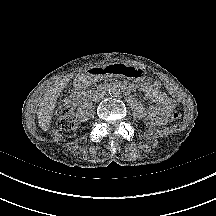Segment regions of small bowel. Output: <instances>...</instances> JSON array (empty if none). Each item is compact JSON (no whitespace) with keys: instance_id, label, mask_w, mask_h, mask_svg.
<instances>
[{"instance_id":"obj_1","label":"small bowel","mask_w":216,"mask_h":216,"mask_svg":"<svg viewBox=\"0 0 216 216\" xmlns=\"http://www.w3.org/2000/svg\"><path fill=\"white\" fill-rule=\"evenodd\" d=\"M139 89L147 98L156 103L149 111L147 124L158 126L165 123L171 111L176 107V102L161 90L159 81L140 84Z\"/></svg>"}]
</instances>
